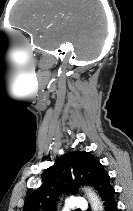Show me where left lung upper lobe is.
I'll return each mask as SVG.
<instances>
[{"label":"left lung upper lobe","instance_id":"obj_1","mask_svg":"<svg viewBox=\"0 0 133 211\" xmlns=\"http://www.w3.org/2000/svg\"><path fill=\"white\" fill-rule=\"evenodd\" d=\"M46 181L26 199L23 211H55L63 193L74 194L81 185L93 186L101 196L110 186L103 165L90 153L74 151L60 156L46 169Z\"/></svg>","mask_w":133,"mask_h":211}]
</instances>
